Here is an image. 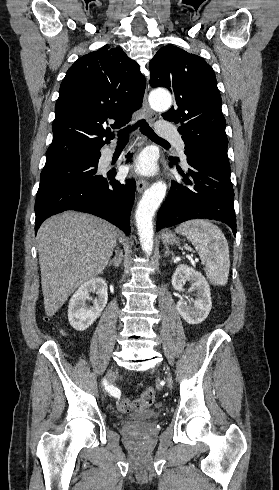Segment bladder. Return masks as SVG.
<instances>
[{
  "instance_id": "31cf9c89",
  "label": "bladder",
  "mask_w": 279,
  "mask_h": 490,
  "mask_svg": "<svg viewBox=\"0 0 279 490\" xmlns=\"http://www.w3.org/2000/svg\"><path fill=\"white\" fill-rule=\"evenodd\" d=\"M161 415L160 410L153 407H148L144 410H137L130 413L125 421L128 423H140V422H151L153 419L159 418Z\"/></svg>"
}]
</instances>
